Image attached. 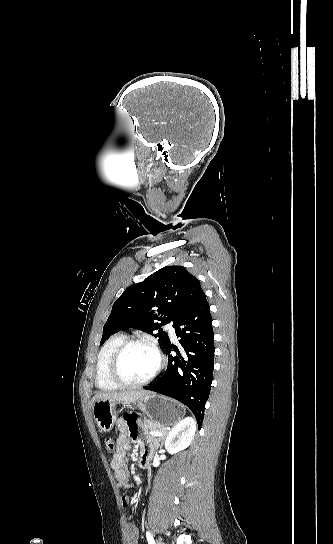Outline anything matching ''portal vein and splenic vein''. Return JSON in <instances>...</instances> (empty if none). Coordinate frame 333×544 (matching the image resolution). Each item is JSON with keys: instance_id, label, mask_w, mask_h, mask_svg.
<instances>
[{"instance_id": "portal-vein-and-splenic-vein-1", "label": "portal vein and splenic vein", "mask_w": 333, "mask_h": 544, "mask_svg": "<svg viewBox=\"0 0 333 544\" xmlns=\"http://www.w3.org/2000/svg\"><path fill=\"white\" fill-rule=\"evenodd\" d=\"M150 434L154 435V436H162L163 435L162 432H155V431H151Z\"/></svg>"}]
</instances>
